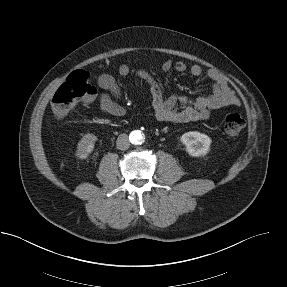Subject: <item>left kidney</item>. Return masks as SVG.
Wrapping results in <instances>:
<instances>
[{"mask_svg":"<svg viewBox=\"0 0 287 287\" xmlns=\"http://www.w3.org/2000/svg\"><path fill=\"white\" fill-rule=\"evenodd\" d=\"M180 140L185 145L189 155L193 157L206 155L210 150L212 142L210 137L197 131L184 133Z\"/></svg>","mask_w":287,"mask_h":287,"instance_id":"left-kidney-1","label":"left kidney"}]
</instances>
